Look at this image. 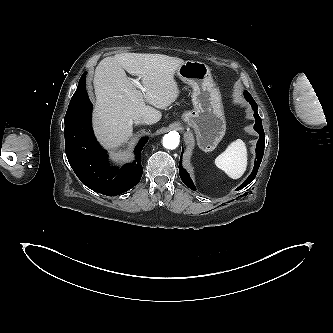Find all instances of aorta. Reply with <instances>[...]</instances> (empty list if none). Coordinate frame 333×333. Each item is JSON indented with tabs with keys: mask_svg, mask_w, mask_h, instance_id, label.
<instances>
[{
	"mask_svg": "<svg viewBox=\"0 0 333 333\" xmlns=\"http://www.w3.org/2000/svg\"><path fill=\"white\" fill-rule=\"evenodd\" d=\"M180 139L179 134L177 132H169L163 137V146L166 149H176L179 145Z\"/></svg>",
	"mask_w": 333,
	"mask_h": 333,
	"instance_id": "762f6f07",
	"label": "aorta"
}]
</instances>
